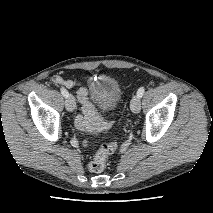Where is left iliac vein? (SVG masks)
<instances>
[{
    "label": "left iliac vein",
    "instance_id": "obj_1",
    "mask_svg": "<svg viewBox=\"0 0 213 213\" xmlns=\"http://www.w3.org/2000/svg\"><path fill=\"white\" fill-rule=\"evenodd\" d=\"M130 108L133 113H139L141 109L140 97H138L137 95L133 96L130 103Z\"/></svg>",
    "mask_w": 213,
    "mask_h": 213
}]
</instances>
